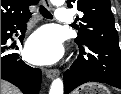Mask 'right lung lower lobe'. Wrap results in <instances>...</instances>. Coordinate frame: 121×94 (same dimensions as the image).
<instances>
[{
  "label": "right lung lower lobe",
  "mask_w": 121,
  "mask_h": 94,
  "mask_svg": "<svg viewBox=\"0 0 121 94\" xmlns=\"http://www.w3.org/2000/svg\"><path fill=\"white\" fill-rule=\"evenodd\" d=\"M31 14L17 20H11L1 24V79L16 85L24 94H38L41 84V70L26 65L18 60L19 55L8 53L10 47L6 45L12 33L23 29ZM22 41V39H21Z\"/></svg>",
  "instance_id": "98d812e1"
}]
</instances>
